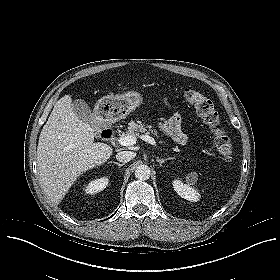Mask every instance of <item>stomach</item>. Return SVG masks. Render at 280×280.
<instances>
[{"instance_id":"0dacf381","label":"stomach","mask_w":280,"mask_h":280,"mask_svg":"<svg viewBox=\"0 0 280 280\" xmlns=\"http://www.w3.org/2000/svg\"><path fill=\"white\" fill-rule=\"evenodd\" d=\"M143 103L142 95L137 91H128L120 95H107L98 101L101 115L109 123L125 118Z\"/></svg>"}]
</instances>
